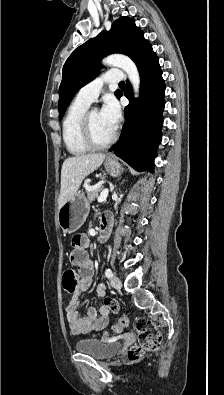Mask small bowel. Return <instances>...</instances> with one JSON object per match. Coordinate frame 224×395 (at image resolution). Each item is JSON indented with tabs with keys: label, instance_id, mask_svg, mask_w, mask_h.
Masks as SVG:
<instances>
[{
	"label": "small bowel",
	"instance_id": "obj_1",
	"mask_svg": "<svg viewBox=\"0 0 224 395\" xmlns=\"http://www.w3.org/2000/svg\"><path fill=\"white\" fill-rule=\"evenodd\" d=\"M72 244L74 249L70 253V262L79 267L81 279L68 301L65 315L71 333L79 335L98 331L106 327L109 323L110 310L104 301L98 311L89 306L84 310L83 314L79 312L80 296L91 287L94 265L88 255L89 240L86 236L75 235L72 239ZM96 293L98 297L104 298L106 294L105 286L98 284Z\"/></svg>",
	"mask_w": 224,
	"mask_h": 395
}]
</instances>
